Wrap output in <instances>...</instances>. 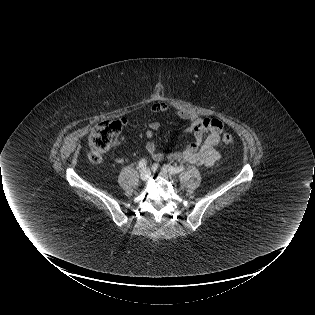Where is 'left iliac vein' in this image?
Segmentation results:
<instances>
[{"instance_id":"left-iliac-vein-1","label":"left iliac vein","mask_w":315,"mask_h":315,"mask_svg":"<svg viewBox=\"0 0 315 315\" xmlns=\"http://www.w3.org/2000/svg\"><path fill=\"white\" fill-rule=\"evenodd\" d=\"M152 170H153L154 172H156V171L158 170V168H155V166L153 165V166H152ZM159 175L162 176V177L165 178V179H170V178H171V175H170L166 170H163V169H161V170L159 171Z\"/></svg>"}]
</instances>
